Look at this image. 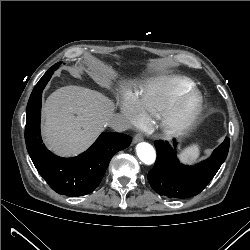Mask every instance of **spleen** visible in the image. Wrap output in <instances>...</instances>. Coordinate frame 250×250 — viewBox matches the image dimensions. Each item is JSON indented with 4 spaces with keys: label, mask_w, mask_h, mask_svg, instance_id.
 Instances as JSON below:
<instances>
[{
    "label": "spleen",
    "mask_w": 250,
    "mask_h": 250,
    "mask_svg": "<svg viewBox=\"0 0 250 250\" xmlns=\"http://www.w3.org/2000/svg\"><path fill=\"white\" fill-rule=\"evenodd\" d=\"M200 155L199 147L197 145H193L184 149L180 154L179 157L181 161L190 163L195 160Z\"/></svg>",
    "instance_id": "1"
}]
</instances>
